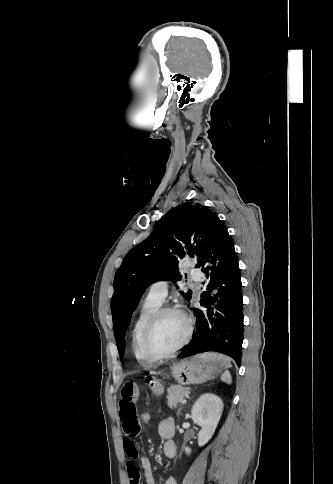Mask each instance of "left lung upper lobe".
<instances>
[{"label": "left lung upper lobe", "mask_w": 333, "mask_h": 484, "mask_svg": "<svg viewBox=\"0 0 333 484\" xmlns=\"http://www.w3.org/2000/svg\"><path fill=\"white\" fill-rule=\"evenodd\" d=\"M215 217L201 204L183 203L168 211L154 232L125 256L115 274L111 299L114 333L121 358L131 314L145 288L158 280L180 278L174 275L178 271V258H199ZM181 294L191 299L190 290Z\"/></svg>", "instance_id": "left-lung-upper-lobe-1"}]
</instances>
